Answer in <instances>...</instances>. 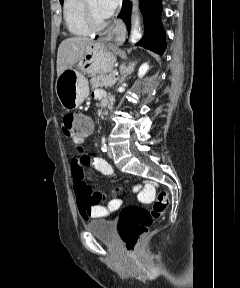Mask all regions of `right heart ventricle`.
<instances>
[{
	"label": "right heart ventricle",
	"mask_w": 240,
	"mask_h": 288,
	"mask_svg": "<svg viewBox=\"0 0 240 288\" xmlns=\"http://www.w3.org/2000/svg\"><path fill=\"white\" fill-rule=\"evenodd\" d=\"M63 15L67 29L76 36L91 34L84 18L83 0H65Z\"/></svg>",
	"instance_id": "right-heart-ventricle-1"
}]
</instances>
